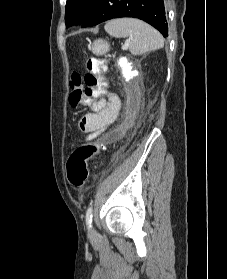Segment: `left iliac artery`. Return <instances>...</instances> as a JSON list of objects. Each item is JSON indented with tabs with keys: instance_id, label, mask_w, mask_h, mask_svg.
<instances>
[{
	"instance_id": "obj_1",
	"label": "left iliac artery",
	"mask_w": 227,
	"mask_h": 279,
	"mask_svg": "<svg viewBox=\"0 0 227 279\" xmlns=\"http://www.w3.org/2000/svg\"><path fill=\"white\" fill-rule=\"evenodd\" d=\"M86 224L89 230L92 229V206L86 211Z\"/></svg>"
}]
</instances>
